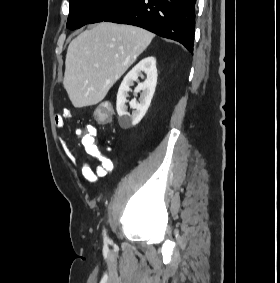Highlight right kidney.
I'll list each match as a JSON object with an SVG mask.
<instances>
[{
  "label": "right kidney",
  "instance_id": "1",
  "mask_svg": "<svg viewBox=\"0 0 280 283\" xmlns=\"http://www.w3.org/2000/svg\"><path fill=\"white\" fill-rule=\"evenodd\" d=\"M146 74V79L134 90L135 93L141 92L139 102L133 99L129 105L133 109L132 114L128 112L126 106V98L128 92L131 90L130 86L134 81H138V77H144L142 73ZM157 85V68L154 57H146L142 59L133 69L124 77L117 94L116 109L119 115V124L121 127L129 128L138 124L146 114Z\"/></svg>",
  "mask_w": 280,
  "mask_h": 283
}]
</instances>
